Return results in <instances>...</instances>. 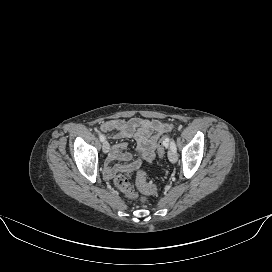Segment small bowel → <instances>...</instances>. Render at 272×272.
<instances>
[{"label": "small bowel", "mask_w": 272, "mask_h": 272, "mask_svg": "<svg viewBox=\"0 0 272 272\" xmlns=\"http://www.w3.org/2000/svg\"><path fill=\"white\" fill-rule=\"evenodd\" d=\"M104 132H114L117 138H133L137 143V158L132 165L138 166L141 161L152 163L155 158V149L162 135L172 129V125L161 120H148L144 118H131L129 120H109L100 125ZM127 145L120 143L114 145L110 160H129L131 155L126 152ZM120 167L110 169L109 175L118 171Z\"/></svg>", "instance_id": "obj_1"}]
</instances>
